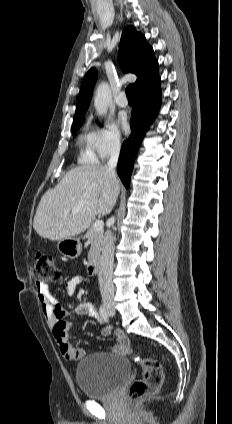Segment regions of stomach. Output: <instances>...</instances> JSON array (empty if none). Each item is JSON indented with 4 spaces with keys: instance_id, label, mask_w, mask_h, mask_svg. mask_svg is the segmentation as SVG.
<instances>
[{
    "instance_id": "0dacf381",
    "label": "stomach",
    "mask_w": 232,
    "mask_h": 424,
    "mask_svg": "<svg viewBox=\"0 0 232 424\" xmlns=\"http://www.w3.org/2000/svg\"><path fill=\"white\" fill-rule=\"evenodd\" d=\"M57 248L63 256L69 259L77 258L82 251V245L78 237H68L60 240L57 244Z\"/></svg>"
}]
</instances>
